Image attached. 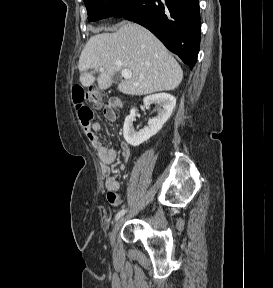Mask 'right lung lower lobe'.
Segmentation results:
<instances>
[{"mask_svg": "<svg viewBox=\"0 0 273 288\" xmlns=\"http://www.w3.org/2000/svg\"><path fill=\"white\" fill-rule=\"evenodd\" d=\"M122 17L149 29L193 68L200 46L198 0H138Z\"/></svg>", "mask_w": 273, "mask_h": 288, "instance_id": "obj_1", "label": "right lung lower lobe"}]
</instances>
